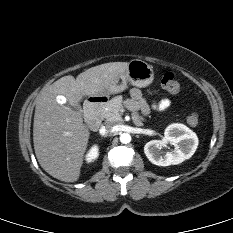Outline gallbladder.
I'll return each instance as SVG.
<instances>
[{
	"mask_svg": "<svg viewBox=\"0 0 233 233\" xmlns=\"http://www.w3.org/2000/svg\"><path fill=\"white\" fill-rule=\"evenodd\" d=\"M72 109L75 110L76 112H78L80 115H82V113H83L80 106H74V107H72Z\"/></svg>",
	"mask_w": 233,
	"mask_h": 233,
	"instance_id": "obj_1",
	"label": "gallbladder"
}]
</instances>
